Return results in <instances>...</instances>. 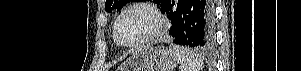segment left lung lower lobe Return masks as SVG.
<instances>
[{
	"mask_svg": "<svg viewBox=\"0 0 301 71\" xmlns=\"http://www.w3.org/2000/svg\"><path fill=\"white\" fill-rule=\"evenodd\" d=\"M162 9L171 20L169 34L175 44L198 48L212 46L215 29L211 0H168Z\"/></svg>",
	"mask_w": 301,
	"mask_h": 71,
	"instance_id": "left-lung-lower-lobe-1",
	"label": "left lung lower lobe"
}]
</instances>
